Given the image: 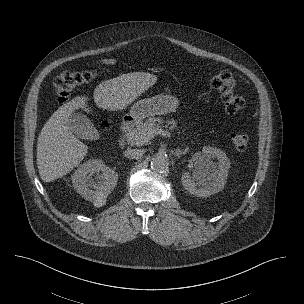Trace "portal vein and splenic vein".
Instances as JSON below:
<instances>
[{
	"label": "portal vein and splenic vein",
	"instance_id": "18ae733b",
	"mask_svg": "<svg viewBox=\"0 0 304 304\" xmlns=\"http://www.w3.org/2000/svg\"><path fill=\"white\" fill-rule=\"evenodd\" d=\"M155 135H162V136H165V137H170V133L168 131L163 130V129H153L148 134V137L153 138Z\"/></svg>",
	"mask_w": 304,
	"mask_h": 304
}]
</instances>
